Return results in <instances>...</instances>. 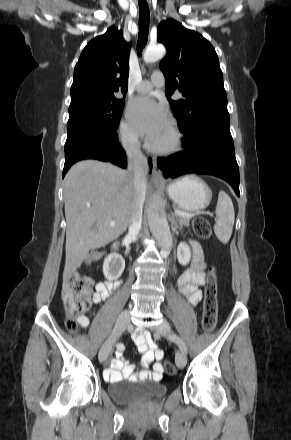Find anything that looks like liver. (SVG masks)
<instances>
[{"instance_id": "liver-1", "label": "liver", "mask_w": 291, "mask_h": 440, "mask_svg": "<svg viewBox=\"0 0 291 440\" xmlns=\"http://www.w3.org/2000/svg\"><path fill=\"white\" fill-rule=\"evenodd\" d=\"M133 176L110 163L83 160L64 179L66 260L68 281L91 249L122 235L130 222L134 198ZM110 222H114L113 227Z\"/></svg>"}]
</instances>
